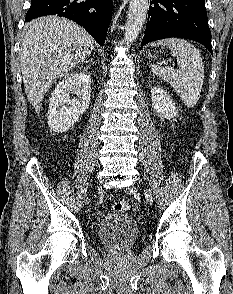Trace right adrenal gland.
Returning a JSON list of instances; mask_svg holds the SVG:
<instances>
[{
    "label": "right adrenal gland",
    "instance_id": "right-adrenal-gland-1",
    "mask_svg": "<svg viewBox=\"0 0 233 294\" xmlns=\"http://www.w3.org/2000/svg\"><path fill=\"white\" fill-rule=\"evenodd\" d=\"M88 62L95 64L94 60L91 58Z\"/></svg>",
    "mask_w": 233,
    "mask_h": 294
}]
</instances>
